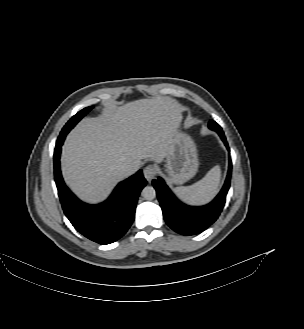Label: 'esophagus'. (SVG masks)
I'll list each match as a JSON object with an SVG mask.
<instances>
[{
	"label": "esophagus",
	"instance_id": "1",
	"mask_svg": "<svg viewBox=\"0 0 304 329\" xmlns=\"http://www.w3.org/2000/svg\"><path fill=\"white\" fill-rule=\"evenodd\" d=\"M143 174L145 179L148 182H151L152 179H154V177L156 176V169L152 165H148L144 168Z\"/></svg>",
	"mask_w": 304,
	"mask_h": 329
}]
</instances>
